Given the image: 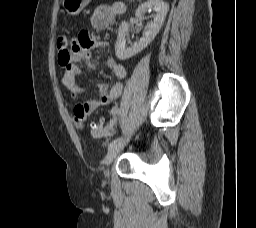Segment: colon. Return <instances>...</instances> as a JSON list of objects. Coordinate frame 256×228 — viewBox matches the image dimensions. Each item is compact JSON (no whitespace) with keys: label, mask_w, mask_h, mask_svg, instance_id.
<instances>
[{"label":"colon","mask_w":256,"mask_h":228,"mask_svg":"<svg viewBox=\"0 0 256 228\" xmlns=\"http://www.w3.org/2000/svg\"><path fill=\"white\" fill-rule=\"evenodd\" d=\"M68 45V38L66 36H60L57 39V47L58 49H64ZM108 130V122L101 121L99 123H94L91 126V135L94 138H99L104 135Z\"/></svg>","instance_id":"5ec220e1"}]
</instances>
